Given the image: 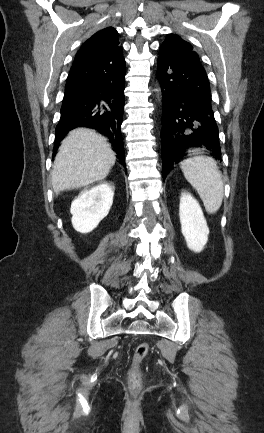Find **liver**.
<instances>
[{"mask_svg": "<svg viewBox=\"0 0 264 433\" xmlns=\"http://www.w3.org/2000/svg\"><path fill=\"white\" fill-rule=\"evenodd\" d=\"M107 139L85 128L72 130L61 142L52 170L56 194L88 186L106 178L115 164Z\"/></svg>", "mask_w": 264, "mask_h": 433, "instance_id": "liver-1", "label": "liver"}]
</instances>
